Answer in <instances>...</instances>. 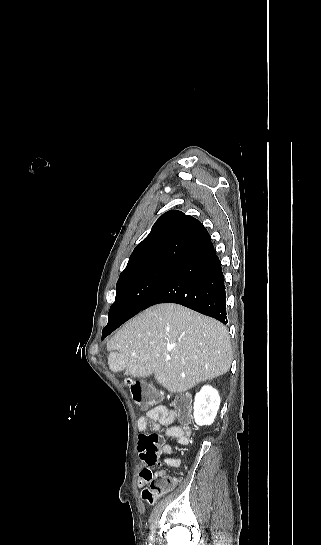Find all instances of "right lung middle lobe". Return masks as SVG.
<instances>
[{
	"mask_svg": "<svg viewBox=\"0 0 321 545\" xmlns=\"http://www.w3.org/2000/svg\"><path fill=\"white\" fill-rule=\"evenodd\" d=\"M177 268L171 265H152L121 273L108 323L128 320L139 313Z\"/></svg>",
	"mask_w": 321,
	"mask_h": 545,
	"instance_id": "1",
	"label": "right lung middle lobe"
}]
</instances>
